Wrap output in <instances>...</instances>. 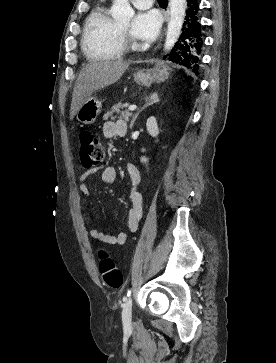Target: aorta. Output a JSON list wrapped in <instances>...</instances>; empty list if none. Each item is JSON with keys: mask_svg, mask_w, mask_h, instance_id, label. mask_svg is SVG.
Returning a JSON list of instances; mask_svg holds the SVG:
<instances>
[{"mask_svg": "<svg viewBox=\"0 0 276 363\" xmlns=\"http://www.w3.org/2000/svg\"><path fill=\"white\" fill-rule=\"evenodd\" d=\"M186 4V0H170V20L164 44L165 51H170L174 47L181 34ZM111 15L117 22L129 23L134 15V10L128 0H114Z\"/></svg>", "mask_w": 276, "mask_h": 363, "instance_id": "762f6f07", "label": "aorta"}]
</instances>
